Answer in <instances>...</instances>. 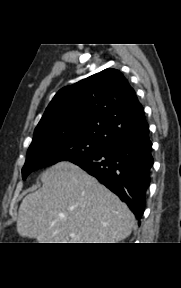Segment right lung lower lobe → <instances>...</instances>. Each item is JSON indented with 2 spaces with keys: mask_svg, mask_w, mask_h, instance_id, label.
Here are the masks:
<instances>
[{
  "mask_svg": "<svg viewBox=\"0 0 181 288\" xmlns=\"http://www.w3.org/2000/svg\"><path fill=\"white\" fill-rule=\"evenodd\" d=\"M152 143L149 137L140 142L116 143L102 151L77 158L71 162L90 175L124 201L140 222L146 204V191L150 184L153 165Z\"/></svg>",
  "mask_w": 181,
  "mask_h": 288,
  "instance_id": "98d812e1",
  "label": "right lung lower lobe"
}]
</instances>
